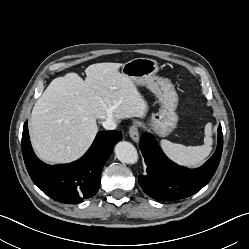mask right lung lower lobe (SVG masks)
Here are the masks:
<instances>
[{"mask_svg":"<svg viewBox=\"0 0 249 249\" xmlns=\"http://www.w3.org/2000/svg\"><path fill=\"white\" fill-rule=\"evenodd\" d=\"M121 139L118 131H100L83 157L69 164L51 166L34 154L25 122L22 153L27 171L38 188L56 201L78 203L96 194L102 168Z\"/></svg>","mask_w":249,"mask_h":249,"instance_id":"1","label":"right lung lower lobe"}]
</instances>
